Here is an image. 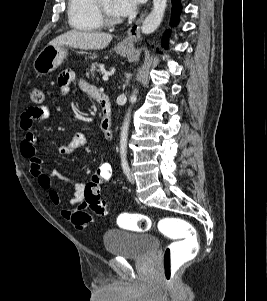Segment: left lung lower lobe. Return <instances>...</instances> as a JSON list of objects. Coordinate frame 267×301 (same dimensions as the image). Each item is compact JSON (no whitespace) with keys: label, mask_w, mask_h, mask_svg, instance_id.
Instances as JSON below:
<instances>
[{"label":"left lung lower lobe","mask_w":267,"mask_h":301,"mask_svg":"<svg viewBox=\"0 0 267 301\" xmlns=\"http://www.w3.org/2000/svg\"><path fill=\"white\" fill-rule=\"evenodd\" d=\"M181 12V4L180 0H172V17H171V25L175 26L178 23V16ZM165 35H168V31L165 33ZM162 46H167V39L163 38L162 40Z\"/></svg>","instance_id":"obj_1"}]
</instances>
